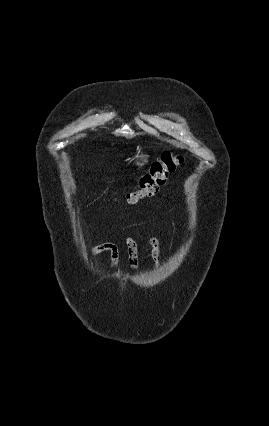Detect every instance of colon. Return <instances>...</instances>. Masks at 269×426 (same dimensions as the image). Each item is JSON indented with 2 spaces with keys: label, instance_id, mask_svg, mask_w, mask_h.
<instances>
[{
  "label": "colon",
  "instance_id": "1",
  "mask_svg": "<svg viewBox=\"0 0 269 426\" xmlns=\"http://www.w3.org/2000/svg\"><path fill=\"white\" fill-rule=\"evenodd\" d=\"M183 163V157L171 152H164L154 161L149 172L139 179L138 187L126 196L128 204H136L139 200L153 196L164 186L167 178Z\"/></svg>",
  "mask_w": 269,
  "mask_h": 426
}]
</instances>
